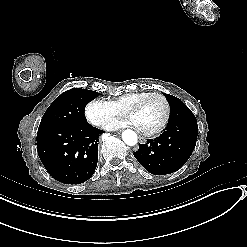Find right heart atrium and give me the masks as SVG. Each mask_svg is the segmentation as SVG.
<instances>
[{"label":"right heart atrium","mask_w":247,"mask_h":247,"mask_svg":"<svg viewBox=\"0 0 247 247\" xmlns=\"http://www.w3.org/2000/svg\"><path fill=\"white\" fill-rule=\"evenodd\" d=\"M115 111L114 104L101 98H92L84 108L87 121L96 127H106Z\"/></svg>","instance_id":"d8ad5b80"}]
</instances>
